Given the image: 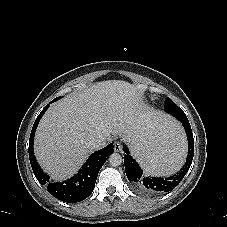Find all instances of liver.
I'll use <instances>...</instances> for the list:
<instances>
[{"instance_id":"liver-1","label":"liver","mask_w":227,"mask_h":227,"mask_svg":"<svg viewBox=\"0 0 227 227\" xmlns=\"http://www.w3.org/2000/svg\"><path fill=\"white\" fill-rule=\"evenodd\" d=\"M161 116L146 108L134 85L120 80L97 82L48 109L36 131L35 155L51 178L64 180L93 152L87 145L92 138L110 140L113 135L132 142L136 130Z\"/></svg>"}]
</instances>
